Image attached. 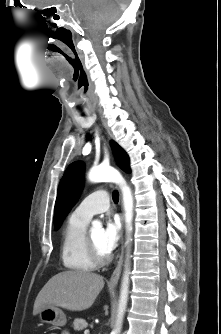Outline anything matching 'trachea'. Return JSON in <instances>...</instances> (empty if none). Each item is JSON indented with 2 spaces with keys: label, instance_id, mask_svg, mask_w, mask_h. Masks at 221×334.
Segmentation results:
<instances>
[{
  "label": "trachea",
  "instance_id": "trachea-1",
  "mask_svg": "<svg viewBox=\"0 0 221 334\" xmlns=\"http://www.w3.org/2000/svg\"><path fill=\"white\" fill-rule=\"evenodd\" d=\"M112 198H113V201H114V202H118L119 194H118L117 191H114V192H113Z\"/></svg>",
  "mask_w": 221,
  "mask_h": 334
}]
</instances>
